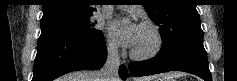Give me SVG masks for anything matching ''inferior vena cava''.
Here are the masks:
<instances>
[{
	"instance_id": "1",
	"label": "inferior vena cava",
	"mask_w": 237,
	"mask_h": 81,
	"mask_svg": "<svg viewBox=\"0 0 237 81\" xmlns=\"http://www.w3.org/2000/svg\"><path fill=\"white\" fill-rule=\"evenodd\" d=\"M120 65V56L118 48L115 46H108L107 59L100 70V81H118V70Z\"/></svg>"
}]
</instances>
